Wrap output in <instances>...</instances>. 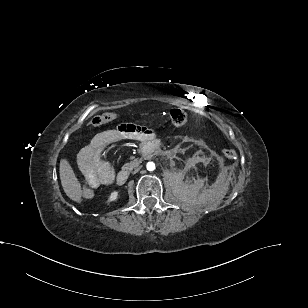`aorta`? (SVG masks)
Here are the masks:
<instances>
[{
	"label": "aorta",
	"mask_w": 308,
	"mask_h": 308,
	"mask_svg": "<svg viewBox=\"0 0 308 308\" xmlns=\"http://www.w3.org/2000/svg\"><path fill=\"white\" fill-rule=\"evenodd\" d=\"M147 169L149 171H153L155 169V164L153 162H148L147 163Z\"/></svg>",
	"instance_id": "1"
}]
</instances>
